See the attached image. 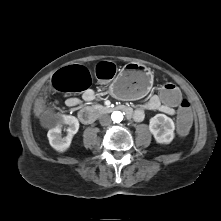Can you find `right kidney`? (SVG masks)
Here are the masks:
<instances>
[{
	"mask_svg": "<svg viewBox=\"0 0 221 221\" xmlns=\"http://www.w3.org/2000/svg\"><path fill=\"white\" fill-rule=\"evenodd\" d=\"M68 125V134L65 137L61 136L62 127ZM79 129V121L74 116L59 115L56 117L53 127L48 131L47 137L50 145L59 152L66 151L71 144L74 134Z\"/></svg>",
	"mask_w": 221,
	"mask_h": 221,
	"instance_id": "ca27d5eb",
	"label": "right kidney"
}]
</instances>
